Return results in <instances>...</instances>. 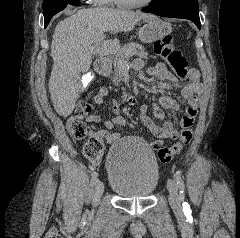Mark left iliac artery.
I'll return each mask as SVG.
<instances>
[{
  "instance_id": "obj_1",
  "label": "left iliac artery",
  "mask_w": 240,
  "mask_h": 238,
  "mask_svg": "<svg viewBox=\"0 0 240 238\" xmlns=\"http://www.w3.org/2000/svg\"><path fill=\"white\" fill-rule=\"evenodd\" d=\"M175 179L177 181V184H178V187L180 189L181 194H183L184 193V189H185V185H184V182H183V180L181 178V171H177L175 173ZM183 208L185 210H187V209H189V206L186 203H184L183 204Z\"/></svg>"
}]
</instances>
